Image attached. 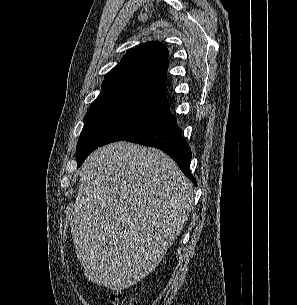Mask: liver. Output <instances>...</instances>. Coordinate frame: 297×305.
Segmentation results:
<instances>
[{
	"label": "liver",
	"instance_id": "1",
	"mask_svg": "<svg viewBox=\"0 0 297 305\" xmlns=\"http://www.w3.org/2000/svg\"><path fill=\"white\" fill-rule=\"evenodd\" d=\"M194 202L193 184L164 152L121 141L84 162L70 220L85 277L127 289L161 262Z\"/></svg>",
	"mask_w": 297,
	"mask_h": 305
}]
</instances>
